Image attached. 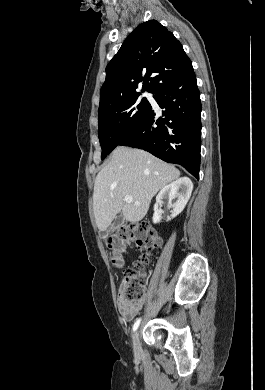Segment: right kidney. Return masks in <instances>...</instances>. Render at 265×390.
I'll list each match as a JSON object with an SVG mask.
<instances>
[{
  "instance_id": "right-kidney-1",
  "label": "right kidney",
  "mask_w": 265,
  "mask_h": 390,
  "mask_svg": "<svg viewBox=\"0 0 265 390\" xmlns=\"http://www.w3.org/2000/svg\"><path fill=\"white\" fill-rule=\"evenodd\" d=\"M193 190V183L188 177H182L172 182L171 184L165 186L157 195L156 203L154 205V214H153V223H159L161 221V215L163 211L161 210L163 199L168 198L169 208L171 209L172 215L168 220L179 215L185 208L191 193ZM177 198V201L172 204V200Z\"/></svg>"
}]
</instances>
